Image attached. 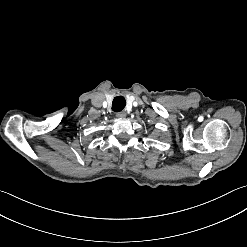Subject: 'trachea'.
Returning a JSON list of instances; mask_svg holds the SVG:
<instances>
[{
    "label": "trachea",
    "mask_w": 247,
    "mask_h": 247,
    "mask_svg": "<svg viewBox=\"0 0 247 247\" xmlns=\"http://www.w3.org/2000/svg\"><path fill=\"white\" fill-rule=\"evenodd\" d=\"M126 105V101L123 96L115 97L112 103V109L116 112L121 111Z\"/></svg>",
    "instance_id": "obj_1"
}]
</instances>
